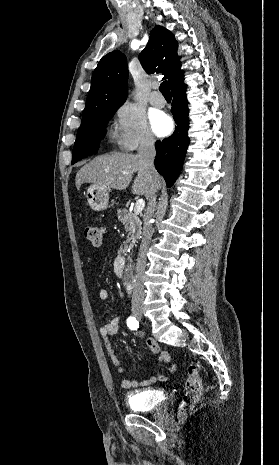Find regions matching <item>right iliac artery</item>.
Returning <instances> with one entry per match:
<instances>
[{"label": "right iliac artery", "instance_id": "obj_1", "mask_svg": "<svg viewBox=\"0 0 279 465\" xmlns=\"http://www.w3.org/2000/svg\"><path fill=\"white\" fill-rule=\"evenodd\" d=\"M127 325L128 327L131 329V330H137L138 327H139V322L138 320L133 317V316H130L128 319H127Z\"/></svg>", "mask_w": 279, "mask_h": 465}]
</instances>
